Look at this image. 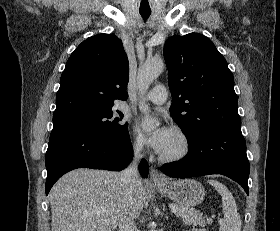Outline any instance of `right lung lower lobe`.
Here are the masks:
<instances>
[{
	"label": "right lung lower lobe",
	"instance_id": "1",
	"mask_svg": "<svg viewBox=\"0 0 280 231\" xmlns=\"http://www.w3.org/2000/svg\"><path fill=\"white\" fill-rule=\"evenodd\" d=\"M132 152L128 131L118 136H106L79 129L52 130L45 158L46 195L63 174L76 168L120 171L130 163ZM139 170L143 177H147L145 160Z\"/></svg>",
	"mask_w": 280,
	"mask_h": 231
}]
</instances>
